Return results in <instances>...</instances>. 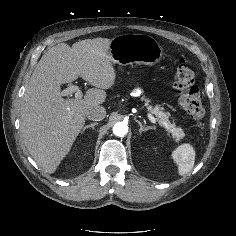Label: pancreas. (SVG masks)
Instances as JSON below:
<instances>
[{
  "mask_svg": "<svg viewBox=\"0 0 236 236\" xmlns=\"http://www.w3.org/2000/svg\"><path fill=\"white\" fill-rule=\"evenodd\" d=\"M142 100H145L147 103L150 102V100L142 98ZM148 110L154 114L158 121L159 124L168 132L172 134L173 139L178 142L180 139H182L185 134L182 130V128L178 127L175 123H171L169 121L170 114L168 112L163 111V107L160 105L148 106Z\"/></svg>",
  "mask_w": 236,
  "mask_h": 236,
  "instance_id": "cf45deb5",
  "label": "pancreas"
}]
</instances>
